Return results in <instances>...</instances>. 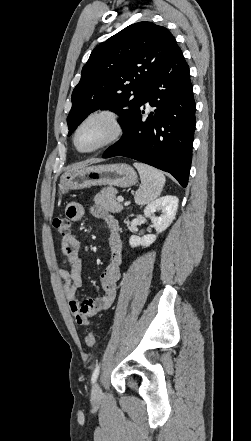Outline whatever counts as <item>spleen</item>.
I'll list each match as a JSON object with an SVG mask.
<instances>
[{
    "mask_svg": "<svg viewBox=\"0 0 251 441\" xmlns=\"http://www.w3.org/2000/svg\"><path fill=\"white\" fill-rule=\"evenodd\" d=\"M134 167L138 170L141 178V186L136 191L134 199L137 205L143 206L158 198L163 190L166 178L164 174L149 165L135 162Z\"/></svg>",
    "mask_w": 251,
    "mask_h": 441,
    "instance_id": "1",
    "label": "spleen"
}]
</instances>
